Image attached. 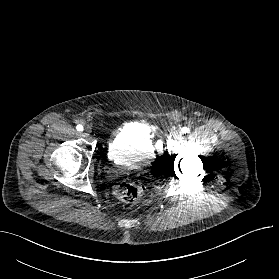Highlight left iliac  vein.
Returning <instances> with one entry per match:
<instances>
[{
	"instance_id": "obj_1",
	"label": "left iliac vein",
	"mask_w": 279,
	"mask_h": 279,
	"mask_svg": "<svg viewBox=\"0 0 279 279\" xmlns=\"http://www.w3.org/2000/svg\"><path fill=\"white\" fill-rule=\"evenodd\" d=\"M181 136H182V131H181L180 129H177V130L174 132V134H173V137H174L175 139H180Z\"/></svg>"
}]
</instances>
